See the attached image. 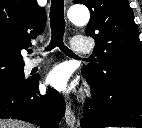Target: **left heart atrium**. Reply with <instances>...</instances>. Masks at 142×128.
<instances>
[{
	"instance_id": "obj_1",
	"label": "left heart atrium",
	"mask_w": 142,
	"mask_h": 128,
	"mask_svg": "<svg viewBox=\"0 0 142 128\" xmlns=\"http://www.w3.org/2000/svg\"><path fill=\"white\" fill-rule=\"evenodd\" d=\"M70 82V71L65 64L53 67L47 75V83L57 90H66Z\"/></svg>"
}]
</instances>
